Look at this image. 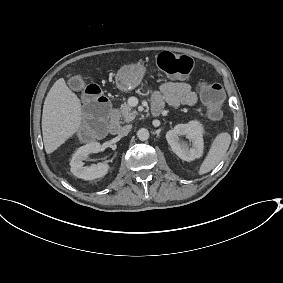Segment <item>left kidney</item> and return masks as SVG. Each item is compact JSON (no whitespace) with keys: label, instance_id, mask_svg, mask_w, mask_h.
I'll list each match as a JSON object with an SVG mask.
<instances>
[{"label":"left kidney","instance_id":"1","mask_svg":"<svg viewBox=\"0 0 283 283\" xmlns=\"http://www.w3.org/2000/svg\"><path fill=\"white\" fill-rule=\"evenodd\" d=\"M203 128L193 121L190 124H177L166 134V140L171 146L172 151L185 161L198 159L203 151ZM186 136L190 146L182 139Z\"/></svg>","mask_w":283,"mask_h":283}]
</instances>
